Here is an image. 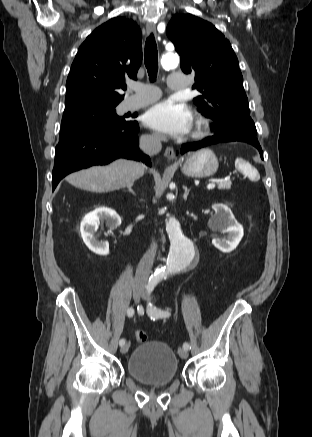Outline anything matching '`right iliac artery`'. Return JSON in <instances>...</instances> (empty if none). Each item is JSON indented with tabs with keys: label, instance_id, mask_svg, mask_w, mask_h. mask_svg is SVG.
<instances>
[{
	"label": "right iliac artery",
	"instance_id": "obj_1",
	"mask_svg": "<svg viewBox=\"0 0 312 437\" xmlns=\"http://www.w3.org/2000/svg\"><path fill=\"white\" fill-rule=\"evenodd\" d=\"M137 309H138L139 313L143 314V308H142V306H138ZM134 313H135V311H134L133 308H128V310H127V315H128L129 317H132V316L134 315ZM119 344L122 346L123 344H125V340H124V339H121V340L119 341Z\"/></svg>",
	"mask_w": 312,
	"mask_h": 437
}]
</instances>
